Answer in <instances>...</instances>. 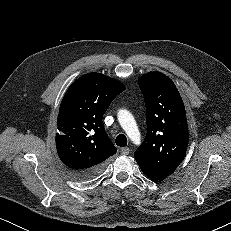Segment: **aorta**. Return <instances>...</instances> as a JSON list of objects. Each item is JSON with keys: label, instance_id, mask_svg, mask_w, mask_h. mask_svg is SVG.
<instances>
[{"label": "aorta", "instance_id": "aorta-1", "mask_svg": "<svg viewBox=\"0 0 231 231\" xmlns=\"http://www.w3.org/2000/svg\"><path fill=\"white\" fill-rule=\"evenodd\" d=\"M118 120H119L121 127L124 129L128 137L133 142L140 140V132L137 127L136 121L133 115L129 111L125 109L119 110Z\"/></svg>", "mask_w": 231, "mask_h": 231}]
</instances>
